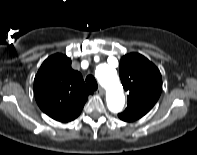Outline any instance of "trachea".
Wrapping results in <instances>:
<instances>
[{"mask_svg": "<svg viewBox=\"0 0 197 155\" xmlns=\"http://www.w3.org/2000/svg\"><path fill=\"white\" fill-rule=\"evenodd\" d=\"M86 84L89 88H91L92 90H96L98 88V84L96 79L94 78L93 75H88L86 77Z\"/></svg>", "mask_w": 197, "mask_h": 155, "instance_id": "3493384b", "label": "trachea"}]
</instances>
